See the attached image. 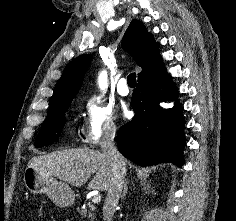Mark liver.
Here are the masks:
<instances>
[{
  "label": "liver",
  "mask_w": 236,
  "mask_h": 221,
  "mask_svg": "<svg viewBox=\"0 0 236 221\" xmlns=\"http://www.w3.org/2000/svg\"><path fill=\"white\" fill-rule=\"evenodd\" d=\"M28 167L59 178L75 187L83 186L90 178L87 188L107 191L111 179V167L102 152L89 148L62 149L33 157Z\"/></svg>",
  "instance_id": "liver-1"
}]
</instances>
